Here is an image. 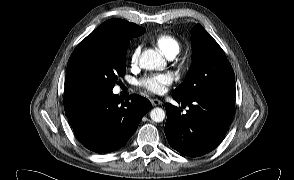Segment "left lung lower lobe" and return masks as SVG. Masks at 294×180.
<instances>
[{
  "label": "left lung lower lobe",
  "mask_w": 294,
  "mask_h": 180,
  "mask_svg": "<svg viewBox=\"0 0 294 180\" xmlns=\"http://www.w3.org/2000/svg\"><path fill=\"white\" fill-rule=\"evenodd\" d=\"M172 97L188 105L187 113L166 103L167 121L164 132L172 148L181 154L197 157L215 149L225 136L234 115V98L196 95Z\"/></svg>",
  "instance_id": "1"
}]
</instances>
